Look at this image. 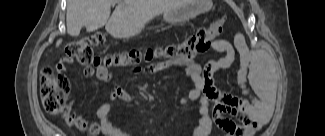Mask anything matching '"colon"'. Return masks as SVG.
Returning a JSON list of instances; mask_svg holds the SVG:
<instances>
[{
	"label": "colon",
	"instance_id": "1",
	"mask_svg": "<svg viewBox=\"0 0 325 136\" xmlns=\"http://www.w3.org/2000/svg\"><path fill=\"white\" fill-rule=\"evenodd\" d=\"M221 20L213 22L207 28L199 29L193 36L177 44L165 48L150 50L147 53L139 50L114 52L104 56L95 54L94 49L106 41L104 33L97 32L70 42L65 48V56L82 65L104 66L107 68H130L140 70L145 61L153 58H167L177 61H189L197 53L208 49L210 42L221 30ZM40 96L45 111L49 114H60L65 110L66 93L52 68L46 67L40 75Z\"/></svg>",
	"mask_w": 325,
	"mask_h": 136
}]
</instances>
